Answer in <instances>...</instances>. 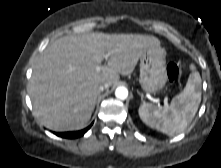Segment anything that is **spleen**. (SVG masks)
Wrapping results in <instances>:
<instances>
[{
	"label": "spleen",
	"instance_id": "1",
	"mask_svg": "<svg viewBox=\"0 0 221 168\" xmlns=\"http://www.w3.org/2000/svg\"><path fill=\"white\" fill-rule=\"evenodd\" d=\"M184 90L176 95L169 106L157 108L150 103H143L138 110L141 120L168 136L182 133L192 122L201 102V77L195 66Z\"/></svg>",
	"mask_w": 221,
	"mask_h": 168
}]
</instances>
